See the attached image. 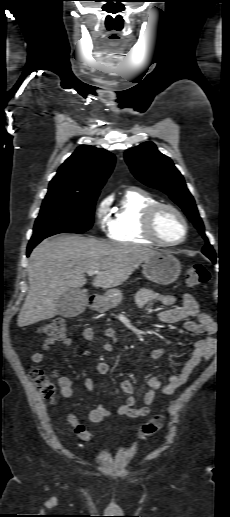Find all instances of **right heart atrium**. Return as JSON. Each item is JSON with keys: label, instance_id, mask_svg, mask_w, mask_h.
I'll return each mask as SVG.
<instances>
[{"label": "right heart atrium", "instance_id": "1", "mask_svg": "<svg viewBox=\"0 0 230 517\" xmlns=\"http://www.w3.org/2000/svg\"><path fill=\"white\" fill-rule=\"evenodd\" d=\"M111 197L102 198L96 205L94 215L98 228L101 231L108 229L111 221Z\"/></svg>", "mask_w": 230, "mask_h": 517}]
</instances>
